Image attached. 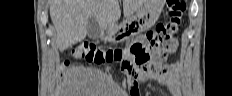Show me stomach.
I'll return each mask as SVG.
<instances>
[{
    "mask_svg": "<svg viewBox=\"0 0 232 96\" xmlns=\"http://www.w3.org/2000/svg\"><path fill=\"white\" fill-rule=\"evenodd\" d=\"M164 4L165 0H147L136 15L119 26L106 29L102 38L110 43L118 44L150 29L159 18Z\"/></svg>",
    "mask_w": 232,
    "mask_h": 96,
    "instance_id": "0dacf381",
    "label": "stomach"
}]
</instances>
